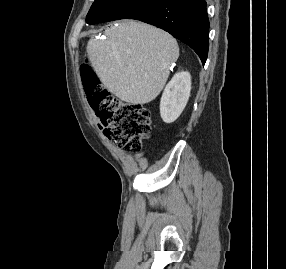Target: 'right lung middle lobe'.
I'll return each instance as SVG.
<instances>
[{
  "mask_svg": "<svg viewBox=\"0 0 286 269\" xmlns=\"http://www.w3.org/2000/svg\"><path fill=\"white\" fill-rule=\"evenodd\" d=\"M154 0H95L92 4L86 22H100L124 19L147 6Z\"/></svg>",
  "mask_w": 286,
  "mask_h": 269,
  "instance_id": "right-lung-middle-lobe-1",
  "label": "right lung middle lobe"
}]
</instances>
